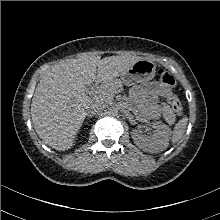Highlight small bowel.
<instances>
[{
	"mask_svg": "<svg viewBox=\"0 0 220 220\" xmlns=\"http://www.w3.org/2000/svg\"><path fill=\"white\" fill-rule=\"evenodd\" d=\"M140 91L151 103H155L159 96H167V90L157 82H152L142 87Z\"/></svg>",
	"mask_w": 220,
	"mask_h": 220,
	"instance_id": "1",
	"label": "small bowel"
}]
</instances>
